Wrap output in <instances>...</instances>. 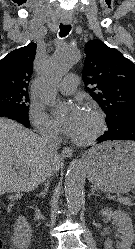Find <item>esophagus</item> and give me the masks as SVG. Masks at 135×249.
<instances>
[{
    "instance_id": "34e87169",
    "label": "esophagus",
    "mask_w": 135,
    "mask_h": 249,
    "mask_svg": "<svg viewBox=\"0 0 135 249\" xmlns=\"http://www.w3.org/2000/svg\"><path fill=\"white\" fill-rule=\"evenodd\" d=\"M63 22L65 24L70 23L69 20H64ZM61 154H62L63 157L71 158L73 156V150L71 148H69V147H65V148L62 149Z\"/></svg>"
}]
</instances>
